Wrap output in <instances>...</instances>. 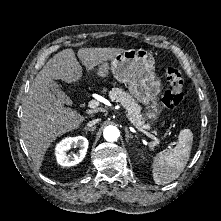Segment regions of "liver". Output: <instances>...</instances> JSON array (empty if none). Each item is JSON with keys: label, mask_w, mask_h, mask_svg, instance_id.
<instances>
[{"label": "liver", "mask_w": 221, "mask_h": 221, "mask_svg": "<svg viewBox=\"0 0 221 221\" xmlns=\"http://www.w3.org/2000/svg\"><path fill=\"white\" fill-rule=\"evenodd\" d=\"M122 48H81L77 56L88 72L116 55ZM82 67L69 48L55 54L43 66L31 83L23 106L22 137L34 165L39 169L50 144L57 137L77 129L85 116L64 107V103L49 89V82L62 80L75 83L82 77Z\"/></svg>", "instance_id": "obj_1"}]
</instances>
